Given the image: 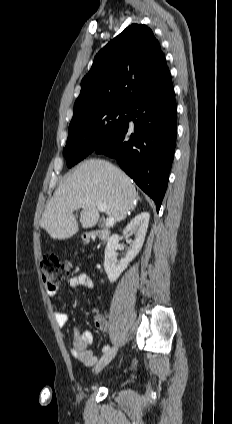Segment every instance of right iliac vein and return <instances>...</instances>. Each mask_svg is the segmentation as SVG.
<instances>
[{"instance_id":"1","label":"right iliac vein","mask_w":232,"mask_h":424,"mask_svg":"<svg viewBox=\"0 0 232 424\" xmlns=\"http://www.w3.org/2000/svg\"><path fill=\"white\" fill-rule=\"evenodd\" d=\"M117 350H118V348H117V346H115V347H112L111 349H109L108 351H106L103 354V356L100 358L99 362L97 363V365L95 367L96 373L102 371L111 362V360L117 354Z\"/></svg>"}]
</instances>
